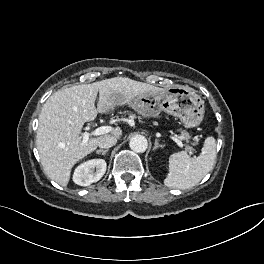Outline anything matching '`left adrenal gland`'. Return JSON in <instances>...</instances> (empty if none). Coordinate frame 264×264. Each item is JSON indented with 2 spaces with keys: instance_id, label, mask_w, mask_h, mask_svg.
I'll use <instances>...</instances> for the list:
<instances>
[{
  "instance_id": "left-adrenal-gland-1",
  "label": "left adrenal gland",
  "mask_w": 264,
  "mask_h": 264,
  "mask_svg": "<svg viewBox=\"0 0 264 264\" xmlns=\"http://www.w3.org/2000/svg\"><path fill=\"white\" fill-rule=\"evenodd\" d=\"M159 147L163 148L164 145L159 144L158 139H155V143H154V148H153V149L156 150V149L159 148Z\"/></svg>"
}]
</instances>
